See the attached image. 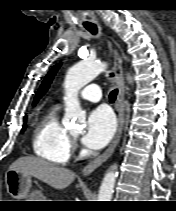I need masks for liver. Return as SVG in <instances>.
I'll return each instance as SVG.
<instances>
[{
    "label": "liver",
    "instance_id": "obj_1",
    "mask_svg": "<svg viewBox=\"0 0 176 211\" xmlns=\"http://www.w3.org/2000/svg\"><path fill=\"white\" fill-rule=\"evenodd\" d=\"M9 169L33 176L59 190L68 187L75 178L73 171L32 156L17 159Z\"/></svg>",
    "mask_w": 176,
    "mask_h": 211
}]
</instances>
